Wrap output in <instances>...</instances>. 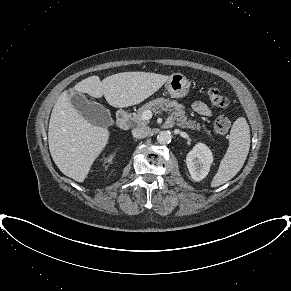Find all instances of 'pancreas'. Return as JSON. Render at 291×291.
I'll return each instance as SVG.
<instances>
[{"label": "pancreas", "instance_id": "pancreas-1", "mask_svg": "<svg viewBox=\"0 0 291 291\" xmlns=\"http://www.w3.org/2000/svg\"><path fill=\"white\" fill-rule=\"evenodd\" d=\"M158 109L172 112V115L177 121L176 124L181 128H187V129H193V130L201 129V126L199 123H196V121L187 119L185 111L183 110L184 107L181 104H178L174 100L172 101L165 98H157L144 104L141 108L138 109L137 113L134 115L132 120L140 125L147 124L148 123L147 120L146 121L141 120L142 113L146 110L156 111ZM205 132L206 134L210 136V131L205 130Z\"/></svg>", "mask_w": 291, "mask_h": 291}]
</instances>
